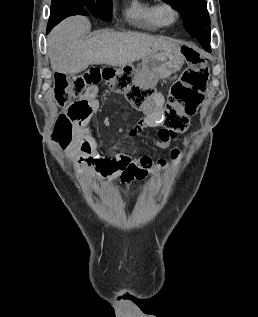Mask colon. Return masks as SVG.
<instances>
[{
  "mask_svg": "<svg viewBox=\"0 0 258 317\" xmlns=\"http://www.w3.org/2000/svg\"><path fill=\"white\" fill-rule=\"evenodd\" d=\"M183 53L189 67L171 86L161 120V128L170 137H175L188 127L189 117L195 113L204 97L209 77V59L204 53L193 47L184 48ZM100 83L108 84L124 93L135 107L145 112L152 113L157 110L154 89L139 82L132 71L113 67L90 66L78 75H56L55 100L60 106H64L70 100L79 98L90 86ZM73 102L58 114L55 122L53 136L62 147L70 145L75 135L76 122L69 110Z\"/></svg>",
  "mask_w": 258,
  "mask_h": 317,
  "instance_id": "1",
  "label": "colon"
}]
</instances>
